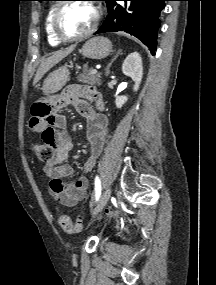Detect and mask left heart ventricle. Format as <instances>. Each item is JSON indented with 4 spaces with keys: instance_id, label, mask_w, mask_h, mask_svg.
<instances>
[{
    "instance_id": "1",
    "label": "left heart ventricle",
    "mask_w": 216,
    "mask_h": 285,
    "mask_svg": "<svg viewBox=\"0 0 216 285\" xmlns=\"http://www.w3.org/2000/svg\"><path fill=\"white\" fill-rule=\"evenodd\" d=\"M96 11L92 4L79 2L69 4L60 18V29L67 36H76L87 31L95 20Z\"/></svg>"
}]
</instances>
